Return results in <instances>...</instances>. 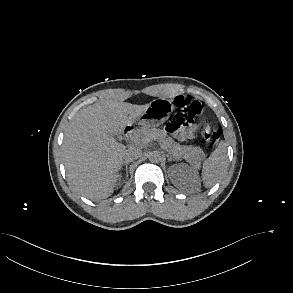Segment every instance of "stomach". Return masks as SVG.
Instances as JSON below:
<instances>
[{"label": "stomach", "instance_id": "stomach-1", "mask_svg": "<svg viewBox=\"0 0 293 293\" xmlns=\"http://www.w3.org/2000/svg\"><path fill=\"white\" fill-rule=\"evenodd\" d=\"M173 102L167 98H158L149 103L145 112L138 118L139 124L154 128L163 124L173 111Z\"/></svg>", "mask_w": 293, "mask_h": 293}]
</instances>
